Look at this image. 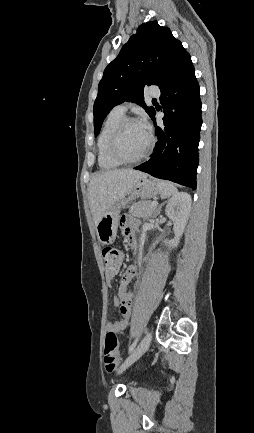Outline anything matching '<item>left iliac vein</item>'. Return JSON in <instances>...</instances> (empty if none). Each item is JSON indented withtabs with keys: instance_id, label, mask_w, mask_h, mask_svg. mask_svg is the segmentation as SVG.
Returning <instances> with one entry per match:
<instances>
[{
	"instance_id": "1",
	"label": "left iliac vein",
	"mask_w": 254,
	"mask_h": 433,
	"mask_svg": "<svg viewBox=\"0 0 254 433\" xmlns=\"http://www.w3.org/2000/svg\"><path fill=\"white\" fill-rule=\"evenodd\" d=\"M152 335L150 332H147L137 347L133 350L130 356L125 360L123 365L120 368V372L126 370L129 366H131L135 361H137L149 348L151 343Z\"/></svg>"
}]
</instances>
